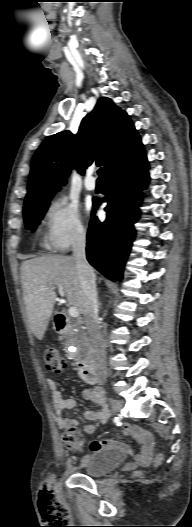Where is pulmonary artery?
<instances>
[{
  "mask_svg": "<svg viewBox=\"0 0 192 527\" xmlns=\"http://www.w3.org/2000/svg\"><path fill=\"white\" fill-rule=\"evenodd\" d=\"M84 186L87 190H95L96 188V182L94 178L92 177V172H89L88 175L84 179Z\"/></svg>",
  "mask_w": 192,
  "mask_h": 527,
  "instance_id": "e3ab8cb5",
  "label": "pulmonary artery"
}]
</instances>
